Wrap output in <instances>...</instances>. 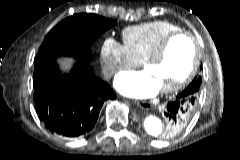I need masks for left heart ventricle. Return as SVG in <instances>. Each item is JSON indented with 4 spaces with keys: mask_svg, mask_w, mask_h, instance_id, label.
Returning <instances> with one entry per match:
<instances>
[{
    "mask_svg": "<svg viewBox=\"0 0 240 160\" xmlns=\"http://www.w3.org/2000/svg\"><path fill=\"white\" fill-rule=\"evenodd\" d=\"M194 61V49L191 41L184 36L173 39L166 48L163 57L145 67L159 88L174 85L189 72Z\"/></svg>",
    "mask_w": 240,
    "mask_h": 160,
    "instance_id": "obj_1",
    "label": "left heart ventricle"
}]
</instances>
